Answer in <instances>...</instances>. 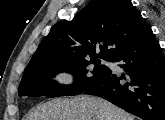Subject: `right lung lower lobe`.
<instances>
[{
  "instance_id": "right-lung-lower-lobe-1",
  "label": "right lung lower lobe",
  "mask_w": 165,
  "mask_h": 120,
  "mask_svg": "<svg viewBox=\"0 0 165 120\" xmlns=\"http://www.w3.org/2000/svg\"><path fill=\"white\" fill-rule=\"evenodd\" d=\"M112 61L125 74L110 71L82 93L102 97L143 120H165V56L154 35Z\"/></svg>"
}]
</instances>
